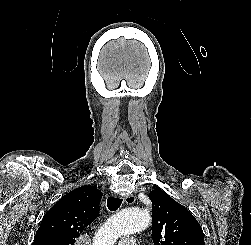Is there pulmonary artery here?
Masks as SVG:
<instances>
[{"mask_svg":"<svg viewBox=\"0 0 251 245\" xmlns=\"http://www.w3.org/2000/svg\"><path fill=\"white\" fill-rule=\"evenodd\" d=\"M118 245H136V242L133 238H125L121 240Z\"/></svg>","mask_w":251,"mask_h":245,"instance_id":"1","label":"pulmonary artery"}]
</instances>
